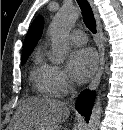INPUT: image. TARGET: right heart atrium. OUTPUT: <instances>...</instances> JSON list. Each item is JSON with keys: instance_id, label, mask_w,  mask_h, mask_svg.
I'll return each mask as SVG.
<instances>
[{"instance_id": "d8ad5b80", "label": "right heart atrium", "mask_w": 123, "mask_h": 130, "mask_svg": "<svg viewBox=\"0 0 123 130\" xmlns=\"http://www.w3.org/2000/svg\"><path fill=\"white\" fill-rule=\"evenodd\" d=\"M52 75L54 83V92L56 96H65L72 90V80L65 70L53 66Z\"/></svg>"}]
</instances>
